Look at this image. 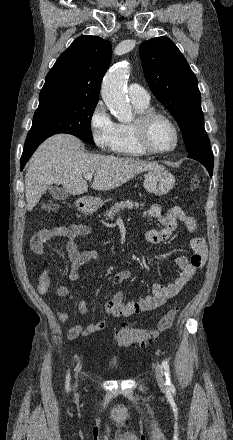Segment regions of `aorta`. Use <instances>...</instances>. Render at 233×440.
<instances>
[{
    "label": "aorta",
    "instance_id": "762f6f07",
    "mask_svg": "<svg viewBox=\"0 0 233 440\" xmlns=\"http://www.w3.org/2000/svg\"><path fill=\"white\" fill-rule=\"evenodd\" d=\"M129 67L124 64L111 68L104 76L101 95L110 112L121 122L132 119V110L125 92Z\"/></svg>",
    "mask_w": 233,
    "mask_h": 440
}]
</instances>
